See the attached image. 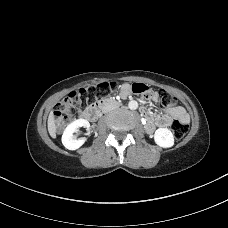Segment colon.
I'll list each match as a JSON object with an SVG mask.
<instances>
[{
  "instance_id": "colon-1",
  "label": "colon",
  "mask_w": 228,
  "mask_h": 228,
  "mask_svg": "<svg viewBox=\"0 0 228 228\" xmlns=\"http://www.w3.org/2000/svg\"><path fill=\"white\" fill-rule=\"evenodd\" d=\"M117 86L115 81L103 82L96 86L81 88L71 92L56 106L53 113V121L56 127L63 128L66 126L75 107H82L91 103L96 97L102 96L105 92L114 89ZM132 92L142 96L150 97L152 90L149 86L143 83H133L131 86ZM159 106L162 109H169L175 106L176 98L168 92L161 90L158 92ZM172 131L177 139H182L188 132V126L181 121H174Z\"/></svg>"
}]
</instances>
